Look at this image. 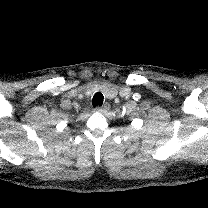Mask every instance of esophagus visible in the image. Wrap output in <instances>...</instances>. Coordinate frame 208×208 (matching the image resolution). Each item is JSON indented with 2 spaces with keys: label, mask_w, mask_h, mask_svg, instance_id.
<instances>
[{
  "label": "esophagus",
  "mask_w": 208,
  "mask_h": 208,
  "mask_svg": "<svg viewBox=\"0 0 208 208\" xmlns=\"http://www.w3.org/2000/svg\"><path fill=\"white\" fill-rule=\"evenodd\" d=\"M110 109V104L105 103L102 106H98L95 110L99 113H105Z\"/></svg>",
  "instance_id": "34e87169"
}]
</instances>
